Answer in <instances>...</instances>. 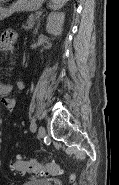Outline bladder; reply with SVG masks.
Listing matches in <instances>:
<instances>
[{
    "label": "bladder",
    "instance_id": "1",
    "mask_svg": "<svg viewBox=\"0 0 119 185\" xmlns=\"http://www.w3.org/2000/svg\"><path fill=\"white\" fill-rule=\"evenodd\" d=\"M22 185H53L50 181L44 179H30L22 183Z\"/></svg>",
    "mask_w": 119,
    "mask_h": 185
}]
</instances>
